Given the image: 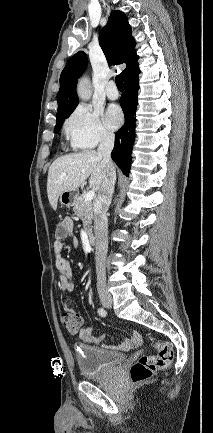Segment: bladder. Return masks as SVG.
Here are the masks:
<instances>
[{"label": "bladder", "instance_id": "obj_1", "mask_svg": "<svg viewBox=\"0 0 213 433\" xmlns=\"http://www.w3.org/2000/svg\"><path fill=\"white\" fill-rule=\"evenodd\" d=\"M75 359L81 375L87 379H101L116 371L124 362L122 353L90 345H79Z\"/></svg>", "mask_w": 213, "mask_h": 433}]
</instances>
